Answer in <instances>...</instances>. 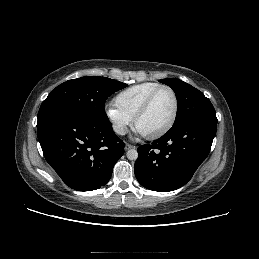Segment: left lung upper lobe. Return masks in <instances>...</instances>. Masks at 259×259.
Masks as SVG:
<instances>
[{"mask_svg": "<svg viewBox=\"0 0 259 259\" xmlns=\"http://www.w3.org/2000/svg\"><path fill=\"white\" fill-rule=\"evenodd\" d=\"M160 82L170 86L176 94L178 111L174 124L192 118L217 121L213 105L201 91L179 79L168 78L162 79Z\"/></svg>", "mask_w": 259, "mask_h": 259, "instance_id": "5c2ea615", "label": "left lung upper lobe"}]
</instances>
